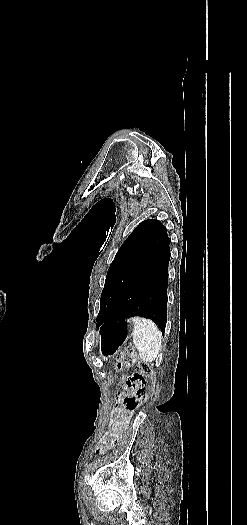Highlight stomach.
Instances as JSON below:
<instances>
[{"instance_id":"1","label":"stomach","mask_w":247,"mask_h":525,"mask_svg":"<svg viewBox=\"0 0 247 525\" xmlns=\"http://www.w3.org/2000/svg\"><path fill=\"white\" fill-rule=\"evenodd\" d=\"M133 327L131 320L102 325L98 332L100 356L110 358L115 354L132 336Z\"/></svg>"}]
</instances>
